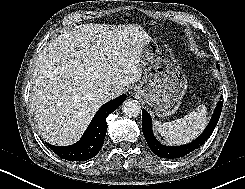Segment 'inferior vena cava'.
I'll return each instance as SVG.
<instances>
[{
    "mask_svg": "<svg viewBox=\"0 0 245 189\" xmlns=\"http://www.w3.org/2000/svg\"><path fill=\"white\" fill-rule=\"evenodd\" d=\"M104 94L106 98L111 99L115 95V89L109 87L105 90Z\"/></svg>",
    "mask_w": 245,
    "mask_h": 189,
    "instance_id": "1",
    "label": "inferior vena cava"
}]
</instances>
